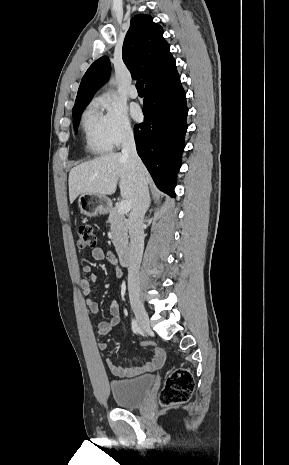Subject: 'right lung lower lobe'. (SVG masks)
Returning <instances> with one entry per match:
<instances>
[{
    "label": "right lung lower lobe",
    "mask_w": 289,
    "mask_h": 465,
    "mask_svg": "<svg viewBox=\"0 0 289 465\" xmlns=\"http://www.w3.org/2000/svg\"><path fill=\"white\" fill-rule=\"evenodd\" d=\"M144 104V122L134 127L137 152L157 187L175 197L188 114L179 76L146 88Z\"/></svg>",
    "instance_id": "right-lung-lower-lobe-1"
}]
</instances>
